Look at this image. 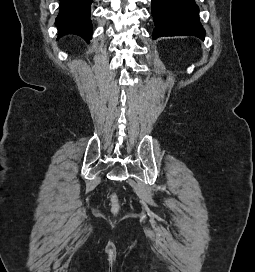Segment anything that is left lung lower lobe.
<instances>
[{
  "label": "left lung lower lobe",
  "mask_w": 255,
  "mask_h": 272,
  "mask_svg": "<svg viewBox=\"0 0 255 272\" xmlns=\"http://www.w3.org/2000/svg\"><path fill=\"white\" fill-rule=\"evenodd\" d=\"M155 23L153 39L161 36H195L204 39L194 0H151Z\"/></svg>",
  "instance_id": "1"
}]
</instances>
